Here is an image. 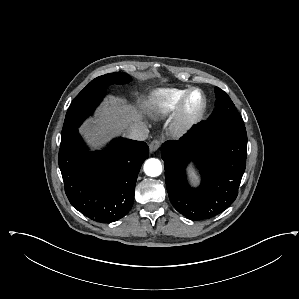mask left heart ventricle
Returning <instances> with one entry per match:
<instances>
[{"label":"left heart ventricle","mask_w":299,"mask_h":299,"mask_svg":"<svg viewBox=\"0 0 299 299\" xmlns=\"http://www.w3.org/2000/svg\"><path fill=\"white\" fill-rule=\"evenodd\" d=\"M200 104V96L197 93H193L188 100V109L190 111L195 110Z\"/></svg>","instance_id":"left-heart-ventricle-1"}]
</instances>
